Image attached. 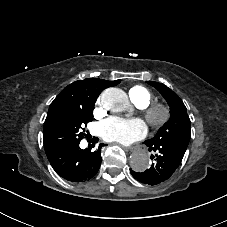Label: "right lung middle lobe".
Here are the masks:
<instances>
[{
    "label": "right lung middle lobe",
    "instance_id": "obj_1",
    "mask_svg": "<svg viewBox=\"0 0 227 227\" xmlns=\"http://www.w3.org/2000/svg\"><path fill=\"white\" fill-rule=\"evenodd\" d=\"M94 104L95 101L71 100L51 103L43 130L46 154L83 139L82 126L93 120Z\"/></svg>",
    "mask_w": 227,
    "mask_h": 227
}]
</instances>
